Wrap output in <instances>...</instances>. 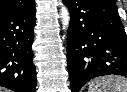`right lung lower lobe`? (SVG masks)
<instances>
[{"instance_id": "right-lung-lower-lobe-1", "label": "right lung lower lobe", "mask_w": 127, "mask_h": 92, "mask_svg": "<svg viewBox=\"0 0 127 92\" xmlns=\"http://www.w3.org/2000/svg\"><path fill=\"white\" fill-rule=\"evenodd\" d=\"M35 5L0 15V86L15 92L36 91V69L31 49Z\"/></svg>"}]
</instances>
